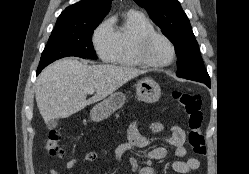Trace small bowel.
Returning <instances> with one entry per match:
<instances>
[{"label": "small bowel", "mask_w": 249, "mask_h": 174, "mask_svg": "<svg viewBox=\"0 0 249 174\" xmlns=\"http://www.w3.org/2000/svg\"><path fill=\"white\" fill-rule=\"evenodd\" d=\"M165 128V125L162 122H154L150 126L152 133H157L162 131ZM170 135L167 137L166 142L169 146L174 149V155L176 158H184L187 154V150L184 146L185 143V132L184 130L177 125H170ZM149 140L147 137L143 136L139 129L138 124L133 122L128 129V139L126 142L120 144L113 151L114 159L117 163H120L123 159V156L136 148H142L147 146ZM108 154L107 150L102 152H89L83 158L82 162H93L99 159L101 156ZM167 156V149L165 147H155L149 150L146 153V158L150 160H161ZM79 160L77 158H71L67 161L62 170L52 168L50 174H65L72 170ZM131 164L133 171L136 174H156L155 169L150 166L139 167V164L136 159H131ZM172 169L180 174H189L192 171H195L199 168L200 162L196 158H189L186 161L175 160L172 162Z\"/></svg>", "instance_id": "1"}]
</instances>
